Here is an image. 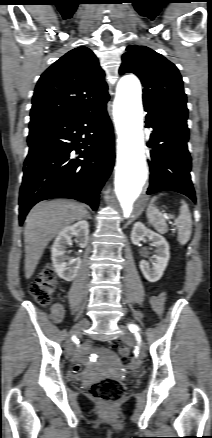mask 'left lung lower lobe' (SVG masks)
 I'll list each match as a JSON object with an SVG mask.
<instances>
[{
    "label": "left lung lower lobe",
    "mask_w": 212,
    "mask_h": 438,
    "mask_svg": "<svg viewBox=\"0 0 212 438\" xmlns=\"http://www.w3.org/2000/svg\"><path fill=\"white\" fill-rule=\"evenodd\" d=\"M145 111L148 112L146 127L153 129L148 143L152 150L147 194L171 190L182 193L195 202L190 176L191 157L187 149V118L166 115L148 108Z\"/></svg>",
    "instance_id": "left-lung-lower-lobe-1"
}]
</instances>
